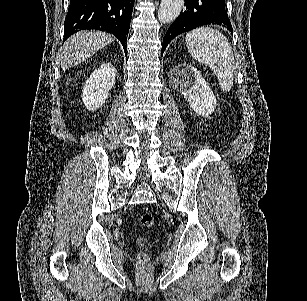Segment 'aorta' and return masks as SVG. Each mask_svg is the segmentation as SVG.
Listing matches in <instances>:
<instances>
[{
	"mask_svg": "<svg viewBox=\"0 0 307 301\" xmlns=\"http://www.w3.org/2000/svg\"><path fill=\"white\" fill-rule=\"evenodd\" d=\"M184 0H161L158 10V20L166 24V22H173L179 16Z\"/></svg>",
	"mask_w": 307,
	"mask_h": 301,
	"instance_id": "obj_1",
	"label": "aorta"
}]
</instances>
